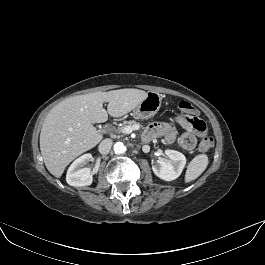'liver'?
<instances>
[{
    "instance_id": "6515ba94",
    "label": "liver",
    "mask_w": 265,
    "mask_h": 265,
    "mask_svg": "<svg viewBox=\"0 0 265 265\" xmlns=\"http://www.w3.org/2000/svg\"><path fill=\"white\" fill-rule=\"evenodd\" d=\"M139 89H119L74 96L58 103L46 116L40 149L48 171L59 178L66 166L95 147L101 133L92 123L107 121L108 114L121 117L134 110L147 96ZM108 102L107 111L103 103Z\"/></svg>"
}]
</instances>
